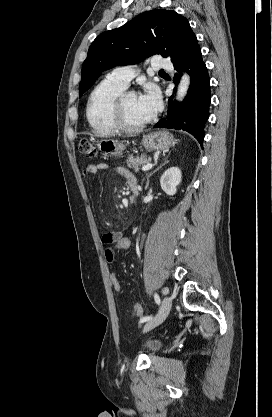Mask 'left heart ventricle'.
<instances>
[{"instance_id":"left-heart-ventricle-1","label":"left heart ventricle","mask_w":272,"mask_h":417,"mask_svg":"<svg viewBox=\"0 0 272 417\" xmlns=\"http://www.w3.org/2000/svg\"><path fill=\"white\" fill-rule=\"evenodd\" d=\"M124 118L131 125H138L150 119L140 107L138 96L134 93L129 94L124 101Z\"/></svg>"}]
</instances>
